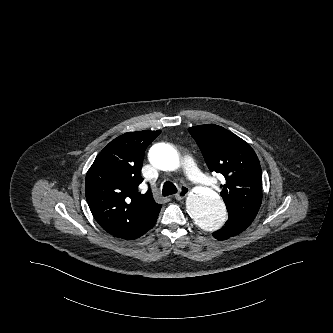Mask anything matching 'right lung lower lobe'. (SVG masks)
Masks as SVG:
<instances>
[{
  "instance_id": "obj_1",
  "label": "right lung lower lobe",
  "mask_w": 333,
  "mask_h": 333,
  "mask_svg": "<svg viewBox=\"0 0 333 333\" xmlns=\"http://www.w3.org/2000/svg\"><path fill=\"white\" fill-rule=\"evenodd\" d=\"M159 212H156L143 226L141 229V233L140 235H138V237L142 236L145 232H147L149 229H151L157 220Z\"/></svg>"
}]
</instances>
